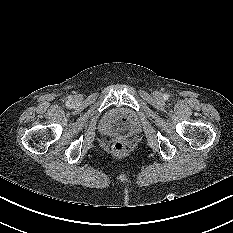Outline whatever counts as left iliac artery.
Listing matches in <instances>:
<instances>
[{"mask_svg":"<svg viewBox=\"0 0 233 233\" xmlns=\"http://www.w3.org/2000/svg\"><path fill=\"white\" fill-rule=\"evenodd\" d=\"M168 97H169V96H168L167 94L164 95V99H165V100H167Z\"/></svg>","mask_w":233,"mask_h":233,"instance_id":"44dca946","label":"left iliac artery"}]
</instances>
